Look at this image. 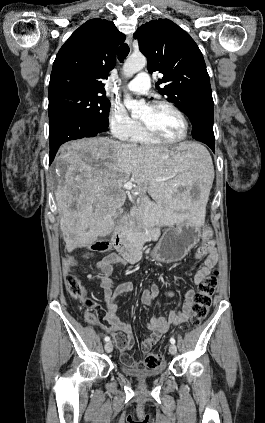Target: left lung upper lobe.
<instances>
[{
    "label": "left lung upper lobe",
    "instance_id": "5c2ea615",
    "mask_svg": "<svg viewBox=\"0 0 265 423\" xmlns=\"http://www.w3.org/2000/svg\"><path fill=\"white\" fill-rule=\"evenodd\" d=\"M147 57L148 71L163 77L156 88L191 119L197 102L212 96L202 53L191 36L168 19L151 20L134 33ZM161 85V86H159Z\"/></svg>",
    "mask_w": 265,
    "mask_h": 423
}]
</instances>
